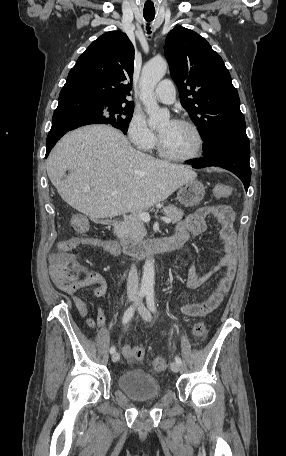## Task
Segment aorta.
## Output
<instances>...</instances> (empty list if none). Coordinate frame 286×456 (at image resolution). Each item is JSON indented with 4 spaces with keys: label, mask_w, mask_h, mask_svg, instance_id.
Segmentation results:
<instances>
[{
    "label": "aorta",
    "mask_w": 286,
    "mask_h": 456,
    "mask_svg": "<svg viewBox=\"0 0 286 456\" xmlns=\"http://www.w3.org/2000/svg\"><path fill=\"white\" fill-rule=\"evenodd\" d=\"M167 62L163 58H153L146 63L142 69L140 87V98L149 116L148 124L158 126L169 120L170 114L167 110L161 109L154 97V88L164 77L167 71ZM155 284L154 259L148 257L143 266L141 289L153 291Z\"/></svg>",
    "instance_id": "obj_1"
}]
</instances>
